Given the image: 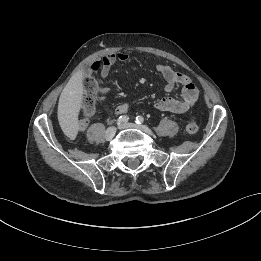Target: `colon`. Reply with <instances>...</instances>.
Wrapping results in <instances>:
<instances>
[{"instance_id":"obj_1","label":"colon","mask_w":261,"mask_h":261,"mask_svg":"<svg viewBox=\"0 0 261 261\" xmlns=\"http://www.w3.org/2000/svg\"><path fill=\"white\" fill-rule=\"evenodd\" d=\"M99 69V63L96 62L91 67V72ZM97 83L94 78L85 80V93L81 104L80 126L88 123L89 118L93 115L97 101ZM199 130V125L194 118H191L186 125V131L189 135H195Z\"/></svg>"}]
</instances>
